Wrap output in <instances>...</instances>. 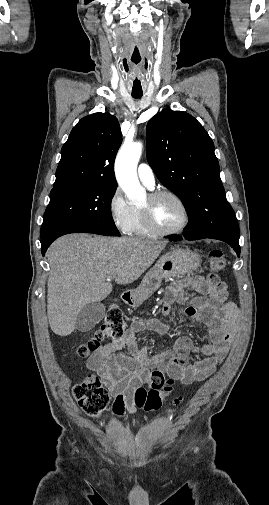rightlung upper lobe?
Returning <instances> with one entry per match:
<instances>
[{"mask_svg": "<svg viewBox=\"0 0 269 505\" xmlns=\"http://www.w3.org/2000/svg\"><path fill=\"white\" fill-rule=\"evenodd\" d=\"M122 142L117 119L109 113L82 118L61 150L54 187L74 183L117 186L114 160Z\"/></svg>", "mask_w": 269, "mask_h": 505, "instance_id": "obj_1", "label": "right lung upper lobe"}]
</instances>
